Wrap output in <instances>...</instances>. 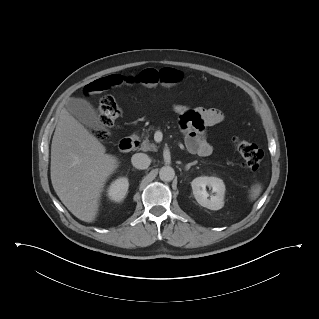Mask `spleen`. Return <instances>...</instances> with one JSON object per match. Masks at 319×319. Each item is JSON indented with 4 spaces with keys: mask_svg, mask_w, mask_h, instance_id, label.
<instances>
[{
    "mask_svg": "<svg viewBox=\"0 0 319 319\" xmlns=\"http://www.w3.org/2000/svg\"><path fill=\"white\" fill-rule=\"evenodd\" d=\"M261 191H262V187L260 184L253 185L250 190V199L255 200L256 198H258Z\"/></svg>",
    "mask_w": 319,
    "mask_h": 319,
    "instance_id": "1",
    "label": "spleen"
}]
</instances>
